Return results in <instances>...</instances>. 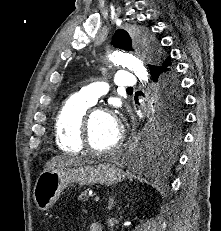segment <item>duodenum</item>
Instances as JSON below:
<instances>
[{
	"label": "duodenum",
	"mask_w": 221,
	"mask_h": 231,
	"mask_svg": "<svg viewBox=\"0 0 221 231\" xmlns=\"http://www.w3.org/2000/svg\"><path fill=\"white\" fill-rule=\"evenodd\" d=\"M90 231H103V229L99 224L93 223L90 227Z\"/></svg>",
	"instance_id": "410a0bca"
}]
</instances>
